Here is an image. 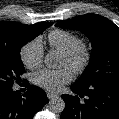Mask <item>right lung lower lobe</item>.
I'll use <instances>...</instances> for the list:
<instances>
[{
    "label": "right lung lower lobe",
    "instance_id": "1",
    "mask_svg": "<svg viewBox=\"0 0 119 119\" xmlns=\"http://www.w3.org/2000/svg\"><path fill=\"white\" fill-rule=\"evenodd\" d=\"M46 103L45 92L36 86L23 96L12 87L0 89V119H32Z\"/></svg>",
    "mask_w": 119,
    "mask_h": 119
}]
</instances>
